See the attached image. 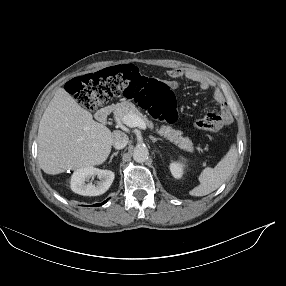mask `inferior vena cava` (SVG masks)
<instances>
[{
	"mask_svg": "<svg viewBox=\"0 0 286 286\" xmlns=\"http://www.w3.org/2000/svg\"><path fill=\"white\" fill-rule=\"evenodd\" d=\"M128 136L122 131H114L113 146L116 149H123L128 143Z\"/></svg>",
	"mask_w": 286,
	"mask_h": 286,
	"instance_id": "inferior-vena-cava-1",
	"label": "inferior vena cava"
}]
</instances>
